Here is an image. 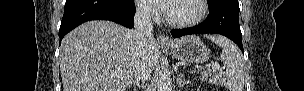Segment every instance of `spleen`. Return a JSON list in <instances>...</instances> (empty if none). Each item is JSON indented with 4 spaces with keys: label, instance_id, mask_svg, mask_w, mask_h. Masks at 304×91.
I'll return each instance as SVG.
<instances>
[{
    "label": "spleen",
    "instance_id": "3e777b00",
    "mask_svg": "<svg viewBox=\"0 0 304 91\" xmlns=\"http://www.w3.org/2000/svg\"><path fill=\"white\" fill-rule=\"evenodd\" d=\"M213 43L221 47L220 61L224 64L226 72H222L210 79L215 84L226 85L230 91H243L244 89V61L240 50L227 38L222 36H209Z\"/></svg>",
    "mask_w": 304,
    "mask_h": 91
}]
</instances>
